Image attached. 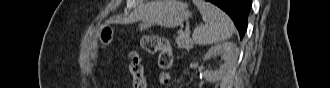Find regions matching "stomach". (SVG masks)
Listing matches in <instances>:
<instances>
[{"label":"stomach","instance_id":"1","mask_svg":"<svg viewBox=\"0 0 330 88\" xmlns=\"http://www.w3.org/2000/svg\"><path fill=\"white\" fill-rule=\"evenodd\" d=\"M191 14L192 13L188 10L187 6L181 1H155L148 17L141 20L139 29H148L154 25L175 28L191 17ZM97 33L99 41L105 46L112 43L115 35L114 27L107 23L100 25Z\"/></svg>","mask_w":330,"mask_h":88}]
</instances>
